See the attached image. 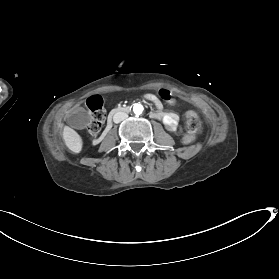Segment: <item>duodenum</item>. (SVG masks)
<instances>
[{"instance_id": "1", "label": "duodenum", "mask_w": 279, "mask_h": 279, "mask_svg": "<svg viewBox=\"0 0 279 279\" xmlns=\"http://www.w3.org/2000/svg\"><path fill=\"white\" fill-rule=\"evenodd\" d=\"M119 112H130L129 106L111 108V111H107V127L101 132V135L94 136L93 146H99V143H103L105 137L109 134V129H112V114H117Z\"/></svg>"}]
</instances>
